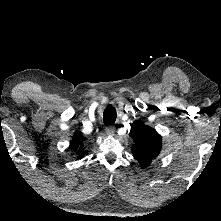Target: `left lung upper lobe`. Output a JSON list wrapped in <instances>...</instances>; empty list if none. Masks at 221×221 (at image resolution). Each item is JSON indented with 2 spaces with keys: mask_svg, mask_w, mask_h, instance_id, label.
Returning <instances> with one entry per match:
<instances>
[{
  "mask_svg": "<svg viewBox=\"0 0 221 221\" xmlns=\"http://www.w3.org/2000/svg\"><path fill=\"white\" fill-rule=\"evenodd\" d=\"M132 152L142 166H148L161 150V137L155 129L142 123L131 124Z\"/></svg>",
  "mask_w": 221,
  "mask_h": 221,
  "instance_id": "1",
  "label": "left lung upper lobe"
}]
</instances>
